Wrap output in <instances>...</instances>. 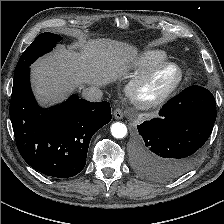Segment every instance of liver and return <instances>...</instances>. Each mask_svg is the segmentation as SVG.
<instances>
[{"label":"liver","mask_w":224,"mask_h":224,"mask_svg":"<svg viewBox=\"0 0 224 224\" xmlns=\"http://www.w3.org/2000/svg\"><path fill=\"white\" fill-rule=\"evenodd\" d=\"M137 49L111 39H91L79 46H58L32 66V84L44 105L63 100L75 88L104 86L117 81L130 69Z\"/></svg>","instance_id":"obj_1"}]
</instances>
